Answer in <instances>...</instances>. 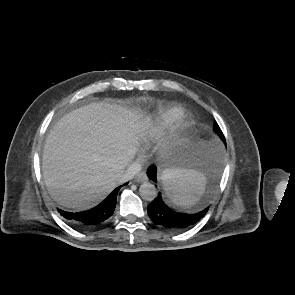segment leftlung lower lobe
I'll use <instances>...</instances> for the list:
<instances>
[{"instance_id": "obj_1", "label": "left lung lower lobe", "mask_w": 295, "mask_h": 295, "mask_svg": "<svg viewBox=\"0 0 295 295\" xmlns=\"http://www.w3.org/2000/svg\"><path fill=\"white\" fill-rule=\"evenodd\" d=\"M147 174L150 179L156 182V167L150 168ZM147 211L149 217L155 224L170 231H183L189 229L204 217L208 208L195 214L178 213L171 210L163 202L159 193L158 197L148 205Z\"/></svg>"}]
</instances>
